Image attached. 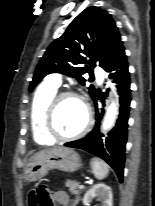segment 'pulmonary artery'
Listing matches in <instances>:
<instances>
[{
	"label": "pulmonary artery",
	"instance_id": "1",
	"mask_svg": "<svg viewBox=\"0 0 155 206\" xmlns=\"http://www.w3.org/2000/svg\"><path fill=\"white\" fill-rule=\"evenodd\" d=\"M97 75H98L99 80H102V77H103L102 70L98 69L97 70ZM46 81L50 85L55 86V87L58 88L61 84V76L59 74H53V75L48 76Z\"/></svg>",
	"mask_w": 155,
	"mask_h": 206
}]
</instances>
